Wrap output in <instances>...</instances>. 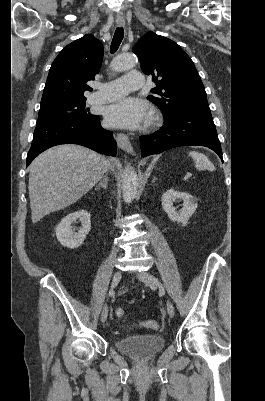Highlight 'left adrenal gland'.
<instances>
[{
	"instance_id": "1",
	"label": "left adrenal gland",
	"mask_w": 265,
	"mask_h": 401,
	"mask_svg": "<svg viewBox=\"0 0 265 401\" xmlns=\"http://www.w3.org/2000/svg\"><path fill=\"white\" fill-rule=\"evenodd\" d=\"M155 180H156V176H153L152 182H155Z\"/></svg>"
}]
</instances>
